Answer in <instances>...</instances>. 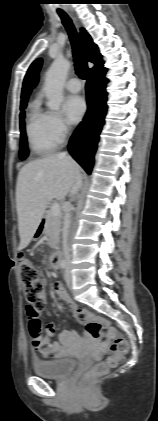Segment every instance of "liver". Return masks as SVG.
I'll use <instances>...</instances> for the list:
<instances>
[{
    "mask_svg": "<svg viewBox=\"0 0 158 421\" xmlns=\"http://www.w3.org/2000/svg\"><path fill=\"white\" fill-rule=\"evenodd\" d=\"M77 173L80 166L61 154L31 161L21 168L16 185L20 249L29 245L49 202L65 198Z\"/></svg>",
    "mask_w": 158,
    "mask_h": 421,
    "instance_id": "liver-1",
    "label": "liver"
}]
</instances>
